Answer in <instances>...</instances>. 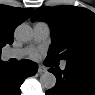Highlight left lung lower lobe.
I'll return each mask as SVG.
<instances>
[{
    "label": "left lung lower lobe",
    "instance_id": "obj_1",
    "mask_svg": "<svg viewBox=\"0 0 95 95\" xmlns=\"http://www.w3.org/2000/svg\"><path fill=\"white\" fill-rule=\"evenodd\" d=\"M45 62H50L45 60ZM57 79L47 95H95V68L67 63L64 71L49 69Z\"/></svg>",
    "mask_w": 95,
    "mask_h": 95
}]
</instances>
